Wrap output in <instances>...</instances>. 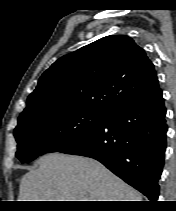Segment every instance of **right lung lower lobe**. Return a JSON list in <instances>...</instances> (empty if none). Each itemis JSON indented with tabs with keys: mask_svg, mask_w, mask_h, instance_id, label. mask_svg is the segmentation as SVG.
I'll use <instances>...</instances> for the list:
<instances>
[{
	"mask_svg": "<svg viewBox=\"0 0 176 211\" xmlns=\"http://www.w3.org/2000/svg\"><path fill=\"white\" fill-rule=\"evenodd\" d=\"M162 90L107 114L99 126L59 152L94 158L151 202L159 195L166 149Z\"/></svg>",
	"mask_w": 176,
	"mask_h": 211,
	"instance_id": "obj_1",
	"label": "right lung lower lobe"
}]
</instances>
